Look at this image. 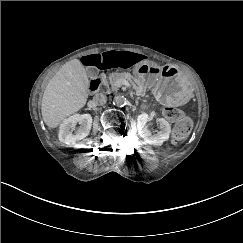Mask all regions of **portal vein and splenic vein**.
Listing matches in <instances>:
<instances>
[{"label": "portal vein and splenic vein", "mask_w": 243, "mask_h": 243, "mask_svg": "<svg viewBox=\"0 0 243 243\" xmlns=\"http://www.w3.org/2000/svg\"><path fill=\"white\" fill-rule=\"evenodd\" d=\"M124 84H125V81H124V80H120L119 83H115V84H114V87H115V88H120L121 85H124Z\"/></svg>", "instance_id": "18ae733b"}]
</instances>
